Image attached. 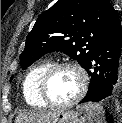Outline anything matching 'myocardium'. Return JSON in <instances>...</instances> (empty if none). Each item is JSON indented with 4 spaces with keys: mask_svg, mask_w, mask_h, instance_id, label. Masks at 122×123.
Returning a JSON list of instances; mask_svg holds the SVG:
<instances>
[{
    "mask_svg": "<svg viewBox=\"0 0 122 123\" xmlns=\"http://www.w3.org/2000/svg\"><path fill=\"white\" fill-rule=\"evenodd\" d=\"M63 68H71L78 73L80 77V88L77 94L72 99L66 102L58 103V102L52 101L49 98L48 85L54 73ZM87 88H88V77L86 72L81 66L73 62H60V63L52 64L42 76L40 81V86H39V94L42 101L47 106H50L53 108H67L79 102L84 97L87 91Z\"/></svg>",
    "mask_w": 122,
    "mask_h": 123,
    "instance_id": "obj_1",
    "label": "myocardium"
}]
</instances>
